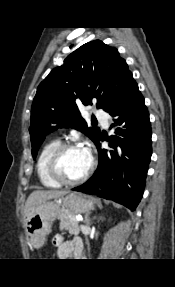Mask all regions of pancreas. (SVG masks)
<instances>
[{
  "label": "pancreas",
  "instance_id": "cf45deb5",
  "mask_svg": "<svg viewBox=\"0 0 175 287\" xmlns=\"http://www.w3.org/2000/svg\"><path fill=\"white\" fill-rule=\"evenodd\" d=\"M60 230H68L71 235H78L80 229L75 215L64 210L60 216Z\"/></svg>",
  "mask_w": 175,
  "mask_h": 287
}]
</instances>
